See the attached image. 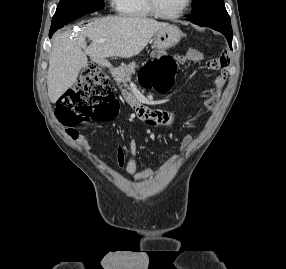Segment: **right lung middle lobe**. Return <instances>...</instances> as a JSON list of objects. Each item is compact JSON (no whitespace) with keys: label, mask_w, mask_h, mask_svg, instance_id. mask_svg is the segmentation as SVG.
<instances>
[{"label":"right lung middle lobe","mask_w":286,"mask_h":269,"mask_svg":"<svg viewBox=\"0 0 286 269\" xmlns=\"http://www.w3.org/2000/svg\"><path fill=\"white\" fill-rule=\"evenodd\" d=\"M103 6V0H60L50 30H58L74 19L100 10Z\"/></svg>","instance_id":"dd1d6c3e"}]
</instances>
